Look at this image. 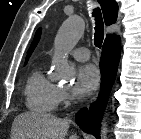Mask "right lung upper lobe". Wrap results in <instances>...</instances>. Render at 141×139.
<instances>
[{
	"mask_svg": "<svg viewBox=\"0 0 141 139\" xmlns=\"http://www.w3.org/2000/svg\"><path fill=\"white\" fill-rule=\"evenodd\" d=\"M102 11H103V15H104V20H105V24L106 25H111L114 24L117 20V16H118V4L115 0H98ZM40 29L37 30L36 35L34 37V40L28 50L27 53V58H26V62L28 61V58L31 56L33 50L35 49L36 45L39 42L40 39ZM111 35H107V37H109Z\"/></svg>",
	"mask_w": 141,
	"mask_h": 139,
	"instance_id": "1",
	"label": "right lung upper lobe"
}]
</instances>
